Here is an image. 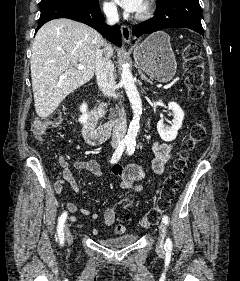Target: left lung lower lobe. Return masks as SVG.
I'll use <instances>...</instances> for the list:
<instances>
[{
	"label": "left lung lower lobe",
	"instance_id": "obj_1",
	"mask_svg": "<svg viewBox=\"0 0 240 281\" xmlns=\"http://www.w3.org/2000/svg\"><path fill=\"white\" fill-rule=\"evenodd\" d=\"M172 27L189 28L204 36L199 0H161L150 20L133 27V43L140 36Z\"/></svg>",
	"mask_w": 240,
	"mask_h": 281
}]
</instances>
